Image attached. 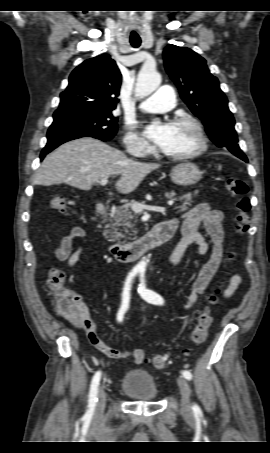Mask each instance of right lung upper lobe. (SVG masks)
<instances>
[{
    "instance_id": "right-lung-upper-lobe-1",
    "label": "right lung upper lobe",
    "mask_w": 270,
    "mask_h": 453,
    "mask_svg": "<svg viewBox=\"0 0 270 453\" xmlns=\"http://www.w3.org/2000/svg\"><path fill=\"white\" fill-rule=\"evenodd\" d=\"M121 73L110 55L102 54L76 67L60 94L54 117L85 111H113L118 103Z\"/></svg>"
}]
</instances>
